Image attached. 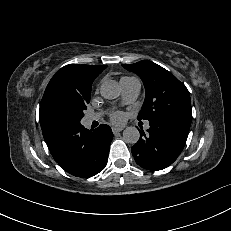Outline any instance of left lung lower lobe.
<instances>
[{
  "mask_svg": "<svg viewBox=\"0 0 231 231\" xmlns=\"http://www.w3.org/2000/svg\"><path fill=\"white\" fill-rule=\"evenodd\" d=\"M145 134L131 148L136 163L148 170H162L171 165L184 148L191 122L174 117H155Z\"/></svg>",
  "mask_w": 231,
  "mask_h": 231,
  "instance_id": "left-lung-lower-lobe-1",
  "label": "left lung lower lobe"
}]
</instances>
